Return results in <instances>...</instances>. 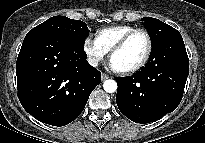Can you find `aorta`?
I'll return each instance as SVG.
<instances>
[{
	"mask_svg": "<svg viewBox=\"0 0 205 143\" xmlns=\"http://www.w3.org/2000/svg\"><path fill=\"white\" fill-rule=\"evenodd\" d=\"M103 88L107 93H113L117 90V83L112 79L105 80Z\"/></svg>",
	"mask_w": 205,
	"mask_h": 143,
	"instance_id": "1",
	"label": "aorta"
}]
</instances>
